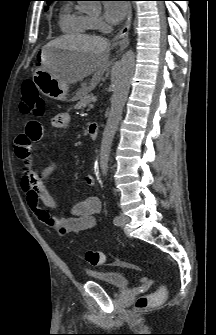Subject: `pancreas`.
I'll return each mask as SVG.
<instances>
[{
    "mask_svg": "<svg viewBox=\"0 0 216 335\" xmlns=\"http://www.w3.org/2000/svg\"><path fill=\"white\" fill-rule=\"evenodd\" d=\"M79 102L75 105V109H83L92 101V94H89L90 89L83 87Z\"/></svg>",
    "mask_w": 216,
    "mask_h": 335,
    "instance_id": "obj_1",
    "label": "pancreas"
}]
</instances>
